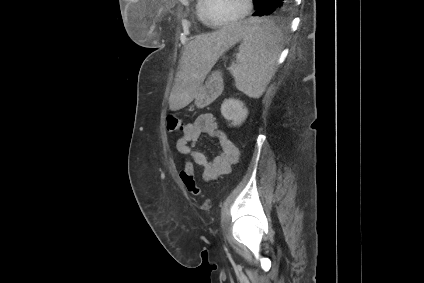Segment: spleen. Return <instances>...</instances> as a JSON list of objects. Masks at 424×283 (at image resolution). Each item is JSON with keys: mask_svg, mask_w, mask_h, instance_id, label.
Returning <instances> with one entry per match:
<instances>
[{"mask_svg": "<svg viewBox=\"0 0 424 283\" xmlns=\"http://www.w3.org/2000/svg\"><path fill=\"white\" fill-rule=\"evenodd\" d=\"M245 23L247 32L229 71L239 91L259 98L276 72L284 39L281 30L272 21L251 18Z\"/></svg>", "mask_w": 424, "mask_h": 283, "instance_id": "spleen-1", "label": "spleen"}]
</instances>
